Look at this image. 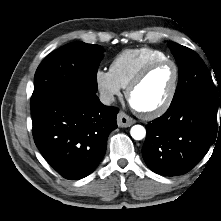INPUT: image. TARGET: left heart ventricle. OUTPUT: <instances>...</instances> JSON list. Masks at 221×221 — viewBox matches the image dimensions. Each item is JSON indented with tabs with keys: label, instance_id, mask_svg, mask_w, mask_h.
<instances>
[{
	"label": "left heart ventricle",
	"instance_id": "1",
	"mask_svg": "<svg viewBox=\"0 0 221 221\" xmlns=\"http://www.w3.org/2000/svg\"><path fill=\"white\" fill-rule=\"evenodd\" d=\"M174 70L169 64L153 69L145 80L133 91L132 105L140 110H151L166 98L173 82Z\"/></svg>",
	"mask_w": 221,
	"mask_h": 221
}]
</instances>
